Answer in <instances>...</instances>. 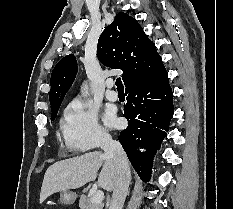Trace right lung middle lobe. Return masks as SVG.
<instances>
[{
  "mask_svg": "<svg viewBox=\"0 0 233 209\" xmlns=\"http://www.w3.org/2000/svg\"><path fill=\"white\" fill-rule=\"evenodd\" d=\"M59 108L55 109L54 111H52V116H51V120L53 121L58 113Z\"/></svg>",
  "mask_w": 233,
  "mask_h": 209,
  "instance_id": "right-lung-middle-lobe-1",
  "label": "right lung middle lobe"
}]
</instances>
